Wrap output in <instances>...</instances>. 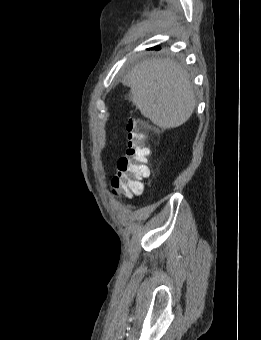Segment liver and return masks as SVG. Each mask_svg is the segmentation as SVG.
Returning <instances> with one entry per match:
<instances>
[{
  "label": "liver",
  "mask_w": 261,
  "mask_h": 340,
  "mask_svg": "<svg viewBox=\"0 0 261 340\" xmlns=\"http://www.w3.org/2000/svg\"><path fill=\"white\" fill-rule=\"evenodd\" d=\"M133 103L141 114L161 129L184 124L194 112L196 100L189 74L170 59H147L124 76Z\"/></svg>",
  "instance_id": "1"
}]
</instances>
